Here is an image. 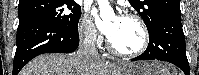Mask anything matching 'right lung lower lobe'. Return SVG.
Instances as JSON below:
<instances>
[{
	"label": "right lung lower lobe",
	"mask_w": 199,
	"mask_h": 75,
	"mask_svg": "<svg viewBox=\"0 0 199 75\" xmlns=\"http://www.w3.org/2000/svg\"><path fill=\"white\" fill-rule=\"evenodd\" d=\"M78 28L64 30L40 19L20 21L17 29V49L13 75L34 57L44 53H71L78 48Z\"/></svg>",
	"instance_id": "obj_1"
}]
</instances>
